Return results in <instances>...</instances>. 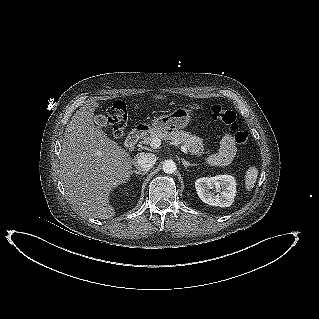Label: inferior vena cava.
Segmentation results:
<instances>
[{
	"instance_id": "1",
	"label": "inferior vena cava",
	"mask_w": 319,
	"mask_h": 319,
	"mask_svg": "<svg viewBox=\"0 0 319 319\" xmlns=\"http://www.w3.org/2000/svg\"><path fill=\"white\" fill-rule=\"evenodd\" d=\"M155 162L156 157L152 153H140L134 158L135 167L144 172L149 171L154 166Z\"/></svg>"
}]
</instances>
